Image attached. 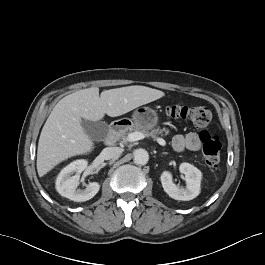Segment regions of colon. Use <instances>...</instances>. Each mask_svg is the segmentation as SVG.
I'll return each mask as SVG.
<instances>
[{
	"mask_svg": "<svg viewBox=\"0 0 265 265\" xmlns=\"http://www.w3.org/2000/svg\"><path fill=\"white\" fill-rule=\"evenodd\" d=\"M167 114L174 119L189 120L195 127L203 129L200 140L205 163L211 171H216L220 165L221 142L217 136L204 130L211 125L214 119L211 109L204 106L188 107L174 104L168 107Z\"/></svg>",
	"mask_w": 265,
	"mask_h": 265,
	"instance_id": "1",
	"label": "colon"
}]
</instances>
